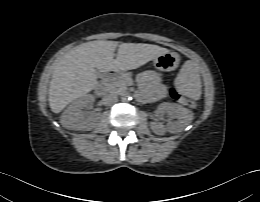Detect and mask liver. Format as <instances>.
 <instances>
[{"instance_id": "1", "label": "liver", "mask_w": 260, "mask_h": 202, "mask_svg": "<svg viewBox=\"0 0 260 202\" xmlns=\"http://www.w3.org/2000/svg\"><path fill=\"white\" fill-rule=\"evenodd\" d=\"M118 47L116 59L114 51ZM168 49L144 43L90 41L67 52L56 64L49 87V105L54 113L92 91L96 70L102 73L139 68Z\"/></svg>"}]
</instances>
